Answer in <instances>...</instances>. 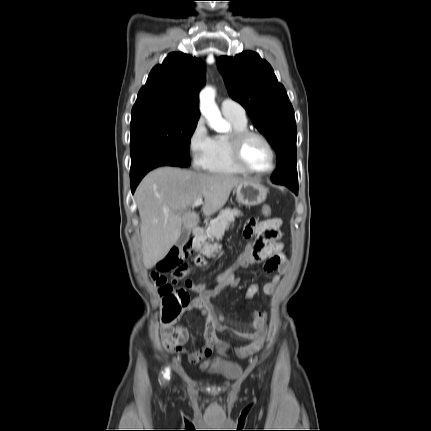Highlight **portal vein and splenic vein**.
<instances>
[{
  "mask_svg": "<svg viewBox=\"0 0 431 431\" xmlns=\"http://www.w3.org/2000/svg\"><path fill=\"white\" fill-rule=\"evenodd\" d=\"M201 204H203V199L202 198H198L193 204H192V208L198 207Z\"/></svg>",
  "mask_w": 431,
  "mask_h": 431,
  "instance_id": "18ae733b",
  "label": "portal vein and splenic vein"
}]
</instances>
